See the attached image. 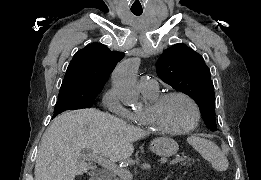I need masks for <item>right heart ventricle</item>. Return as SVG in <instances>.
Wrapping results in <instances>:
<instances>
[{"mask_svg":"<svg viewBox=\"0 0 261 180\" xmlns=\"http://www.w3.org/2000/svg\"><path fill=\"white\" fill-rule=\"evenodd\" d=\"M142 92H143V95H144L146 101H147V99H151V98H153L154 96L157 95V91L156 90L155 91H150V92H146V91H142ZM147 104H148V102H147Z\"/></svg>","mask_w":261,"mask_h":180,"instance_id":"obj_1","label":"right heart ventricle"}]
</instances>
